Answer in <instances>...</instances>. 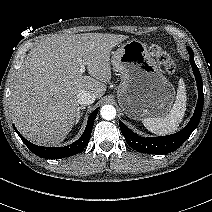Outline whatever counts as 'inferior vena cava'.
Segmentation results:
<instances>
[{"label":"inferior vena cava","mask_w":212,"mask_h":212,"mask_svg":"<svg viewBox=\"0 0 212 212\" xmlns=\"http://www.w3.org/2000/svg\"><path fill=\"white\" fill-rule=\"evenodd\" d=\"M96 99L95 94L87 92V91H80L77 95V102L82 106L92 104Z\"/></svg>","instance_id":"602c4592"}]
</instances>
